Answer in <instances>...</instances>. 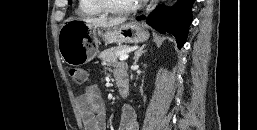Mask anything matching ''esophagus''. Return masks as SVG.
Segmentation results:
<instances>
[{
	"mask_svg": "<svg viewBox=\"0 0 257 130\" xmlns=\"http://www.w3.org/2000/svg\"><path fill=\"white\" fill-rule=\"evenodd\" d=\"M158 0H151L149 5L147 6L146 13H150L157 5Z\"/></svg>",
	"mask_w": 257,
	"mask_h": 130,
	"instance_id": "esophagus-1",
	"label": "esophagus"
}]
</instances>
